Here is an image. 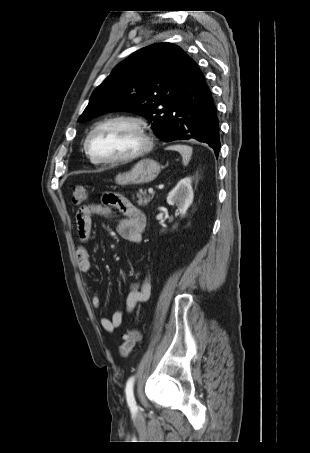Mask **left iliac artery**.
<instances>
[{
	"label": "left iliac artery",
	"instance_id": "1",
	"mask_svg": "<svg viewBox=\"0 0 310 453\" xmlns=\"http://www.w3.org/2000/svg\"><path fill=\"white\" fill-rule=\"evenodd\" d=\"M134 377H130L126 383L125 393L128 406L131 410L136 411L137 405L133 393Z\"/></svg>",
	"mask_w": 310,
	"mask_h": 453
}]
</instances>
